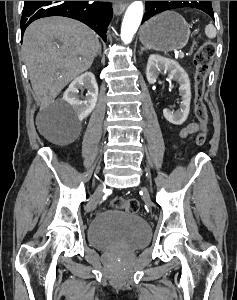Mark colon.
<instances>
[{"mask_svg":"<svg viewBox=\"0 0 237 300\" xmlns=\"http://www.w3.org/2000/svg\"><path fill=\"white\" fill-rule=\"evenodd\" d=\"M216 53L215 44L206 40L197 50L194 56L195 73V113L199 121L200 130L196 136V145L202 146L206 141L208 111L204 103L206 81ZM115 208L135 214L139 211V203L135 199L116 197L113 202Z\"/></svg>","mask_w":237,"mask_h":300,"instance_id":"obj_1","label":"colon"}]
</instances>
